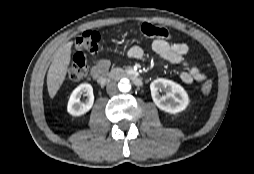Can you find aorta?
I'll return each instance as SVG.
<instances>
[{
  "label": "aorta",
  "instance_id": "aorta-1",
  "mask_svg": "<svg viewBox=\"0 0 254 174\" xmlns=\"http://www.w3.org/2000/svg\"><path fill=\"white\" fill-rule=\"evenodd\" d=\"M118 89L122 93L129 92L131 90V84L129 79L127 78L121 79L120 82L118 83Z\"/></svg>",
  "mask_w": 254,
  "mask_h": 174
}]
</instances>
